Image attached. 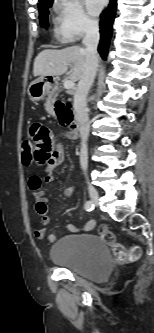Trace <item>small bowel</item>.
Segmentation results:
<instances>
[{"instance_id": "1", "label": "small bowel", "mask_w": 154, "mask_h": 333, "mask_svg": "<svg viewBox=\"0 0 154 333\" xmlns=\"http://www.w3.org/2000/svg\"><path fill=\"white\" fill-rule=\"evenodd\" d=\"M74 138L72 133L67 135ZM29 137L33 142L34 161L39 165H45L44 176H31L29 179V188L33 191L36 200V211L41 217L42 227L34 230V236L37 239H47L53 243L57 236L48 232L50 217L48 215V199L45 192L41 189L43 183H50L54 180L53 170L64 160V151L61 145L56 142L52 131L40 123H34L29 132ZM75 188L71 187L66 190L68 197L72 196ZM94 227V222H88L84 228L79 229L73 224H67L66 229L70 232L79 230L89 231Z\"/></svg>"}]
</instances>
